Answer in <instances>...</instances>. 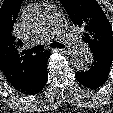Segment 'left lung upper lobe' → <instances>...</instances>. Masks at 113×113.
<instances>
[{
  "mask_svg": "<svg viewBox=\"0 0 113 113\" xmlns=\"http://www.w3.org/2000/svg\"><path fill=\"white\" fill-rule=\"evenodd\" d=\"M73 23L84 28L82 39L92 54L113 59V32L96 0H60Z\"/></svg>",
  "mask_w": 113,
  "mask_h": 113,
  "instance_id": "1",
  "label": "left lung upper lobe"
}]
</instances>
